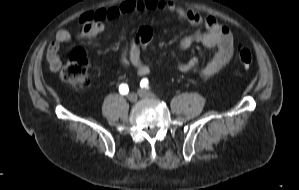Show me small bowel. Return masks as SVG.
<instances>
[{
    "label": "small bowel",
    "mask_w": 299,
    "mask_h": 190,
    "mask_svg": "<svg viewBox=\"0 0 299 190\" xmlns=\"http://www.w3.org/2000/svg\"><path fill=\"white\" fill-rule=\"evenodd\" d=\"M165 10L173 12L181 20L194 26H204L206 32L194 33L185 37L180 43V50L187 51L194 44L199 43L209 49H216L207 63L199 68V58L192 55L188 60L176 65V69L182 73L200 72L203 77H211L228 64L234 51V39L231 31L220 24L212 15H200L191 10L177 7L172 2L163 0H125L124 2L104 7L97 10L85 11L80 16L82 24L78 31L81 39H92L105 30V22L116 19L124 14L138 11ZM73 38L71 31L61 29L56 33L55 39L47 49V59L52 71H58L61 66L59 50L62 43L69 42ZM152 40V29L143 25L137 34L126 43L120 51V62L128 68H133L138 76H146L150 73V67L142 59Z\"/></svg>",
    "instance_id": "small-bowel-1"
}]
</instances>
